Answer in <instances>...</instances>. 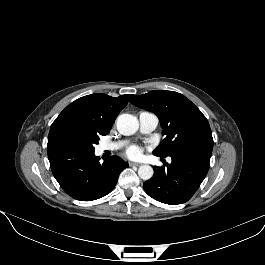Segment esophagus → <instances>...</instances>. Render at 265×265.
Wrapping results in <instances>:
<instances>
[{
    "label": "esophagus",
    "instance_id": "obj_1",
    "mask_svg": "<svg viewBox=\"0 0 265 265\" xmlns=\"http://www.w3.org/2000/svg\"><path fill=\"white\" fill-rule=\"evenodd\" d=\"M140 165H141L140 163H134V162L129 163V166H140Z\"/></svg>",
    "mask_w": 265,
    "mask_h": 265
}]
</instances>
